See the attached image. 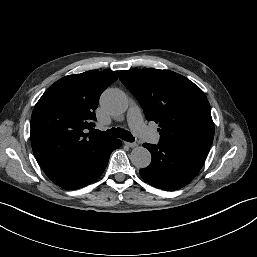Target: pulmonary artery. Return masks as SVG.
Instances as JSON below:
<instances>
[{
  "instance_id": "e3ab8cb5",
  "label": "pulmonary artery",
  "mask_w": 257,
  "mask_h": 257,
  "mask_svg": "<svg viewBox=\"0 0 257 257\" xmlns=\"http://www.w3.org/2000/svg\"><path fill=\"white\" fill-rule=\"evenodd\" d=\"M127 120L131 129L146 140L157 143L159 136L150 130L143 121L141 109L138 105H132L127 112Z\"/></svg>"
}]
</instances>
